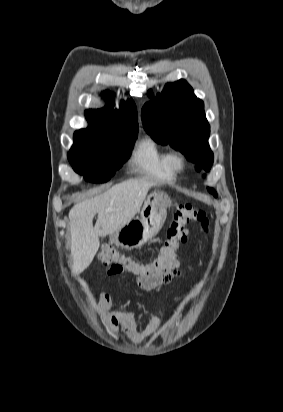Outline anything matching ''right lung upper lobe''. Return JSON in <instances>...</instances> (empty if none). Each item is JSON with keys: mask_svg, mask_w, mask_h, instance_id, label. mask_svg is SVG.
Segmentation results:
<instances>
[{"mask_svg": "<svg viewBox=\"0 0 283 412\" xmlns=\"http://www.w3.org/2000/svg\"><path fill=\"white\" fill-rule=\"evenodd\" d=\"M104 95L107 97L110 93L105 92ZM85 116L89 122L88 128L76 131L84 135L118 137L138 132L137 109L132 100L122 102L119 110H114L108 104L102 109L87 110Z\"/></svg>", "mask_w": 283, "mask_h": 412, "instance_id": "obj_1", "label": "right lung upper lobe"}]
</instances>
